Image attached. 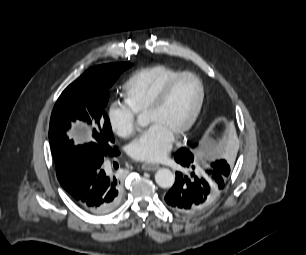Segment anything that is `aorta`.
<instances>
[{
	"label": "aorta",
	"mask_w": 306,
	"mask_h": 255,
	"mask_svg": "<svg viewBox=\"0 0 306 255\" xmlns=\"http://www.w3.org/2000/svg\"><path fill=\"white\" fill-rule=\"evenodd\" d=\"M137 122L139 124L142 123L140 118L138 119ZM155 181L159 187L167 189L173 186L175 181V176L171 170L167 168H160L159 170H157L155 174Z\"/></svg>",
	"instance_id": "obj_1"
}]
</instances>
